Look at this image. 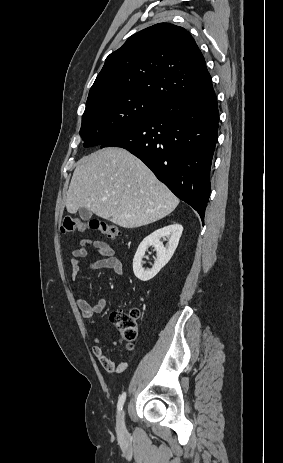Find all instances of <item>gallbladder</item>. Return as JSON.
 <instances>
[{
    "label": "gallbladder",
    "instance_id": "obj_1",
    "mask_svg": "<svg viewBox=\"0 0 283 463\" xmlns=\"http://www.w3.org/2000/svg\"><path fill=\"white\" fill-rule=\"evenodd\" d=\"M79 215H80V218L84 221H87L91 218L92 216V212L87 210L86 208H79Z\"/></svg>",
    "mask_w": 283,
    "mask_h": 463
}]
</instances>
